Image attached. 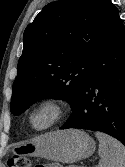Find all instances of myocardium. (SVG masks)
<instances>
[{
	"instance_id": "1",
	"label": "myocardium",
	"mask_w": 125,
	"mask_h": 167,
	"mask_svg": "<svg viewBox=\"0 0 125 167\" xmlns=\"http://www.w3.org/2000/svg\"><path fill=\"white\" fill-rule=\"evenodd\" d=\"M42 112L48 113V120L41 125L35 123V118ZM65 106L63 102L54 97H47L35 104L28 114V123L36 131H45L60 122L64 117Z\"/></svg>"
}]
</instances>
